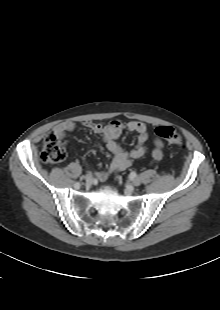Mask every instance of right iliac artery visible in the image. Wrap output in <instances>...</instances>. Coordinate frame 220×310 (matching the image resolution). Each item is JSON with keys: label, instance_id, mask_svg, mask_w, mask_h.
<instances>
[{"label": "right iliac artery", "instance_id": "right-iliac-artery-1", "mask_svg": "<svg viewBox=\"0 0 220 310\" xmlns=\"http://www.w3.org/2000/svg\"><path fill=\"white\" fill-rule=\"evenodd\" d=\"M74 187H75L76 189H79V188H80V182H76V183L74 184Z\"/></svg>", "mask_w": 220, "mask_h": 310}]
</instances>
